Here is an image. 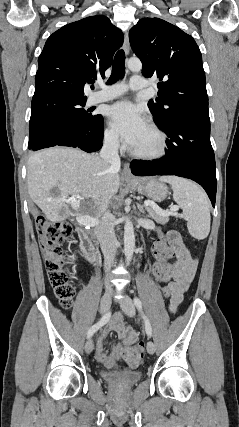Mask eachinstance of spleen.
Segmentation results:
<instances>
[{"label": "spleen", "mask_w": 239, "mask_h": 427, "mask_svg": "<svg viewBox=\"0 0 239 427\" xmlns=\"http://www.w3.org/2000/svg\"><path fill=\"white\" fill-rule=\"evenodd\" d=\"M160 180L171 185L173 199L183 211L188 231L198 240L210 232V206L205 192L194 182L177 176H162Z\"/></svg>", "instance_id": "spleen-1"}]
</instances>
